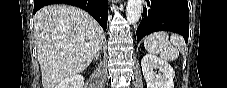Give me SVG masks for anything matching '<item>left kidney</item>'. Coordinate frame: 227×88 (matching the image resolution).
<instances>
[{
	"instance_id": "5707ae66",
	"label": "left kidney",
	"mask_w": 227,
	"mask_h": 88,
	"mask_svg": "<svg viewBox=\"0 0 227 88\" xmlns=\"http://www.w3.org/2000/svg\"><path fill=\"white\" fill-rule=\"evenodd\" d=\"M141 67L147 88H174L175 72L166 61L155 55L146 54L141 61Z\"/></svg>"
}]
</instances>
